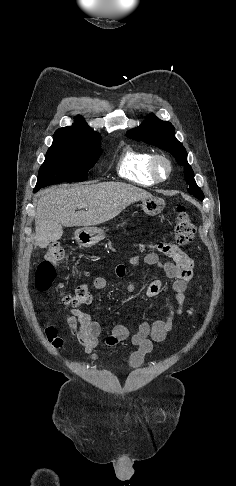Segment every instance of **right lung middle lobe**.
I'll use <instances>...</instances> for the list:
<instances>
[{
  "label": "right lung middle lobe",
  "mask_w": 236,
  "mask_h": 486,
  "mask_svg": "<svg viewBox=\"0 0 236 486\" xmlns=\"http://www.w3.org/2000/svg\"><path fill=\"white\" fill-rule=\"evenodd\" d=\"M102 153L100 142L88 143L68 138H54L42 164L34 192L61 182L87 179Z\"/></svg>",
  "instance_id": "right-lung-middle-lobe-1"
}]
</instances>
